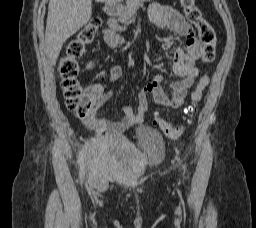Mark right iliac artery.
<instances>
[{"label": "right iliac artery", "instance_id": "obj_1", "mask_svg": "<svg viewBox=\"0 0 256 228\" xmlns=\"http://www.w3.org/2000/svg\"><path fill=\"white\" fill-rule=\"evenodd\" d=\"M84 152L83 150L80 151L79 157H78V163L80 165V175L81 177L84 175Z\"/></svg>", "mask_w": 256, "mask_h": 228}]
</instances>
